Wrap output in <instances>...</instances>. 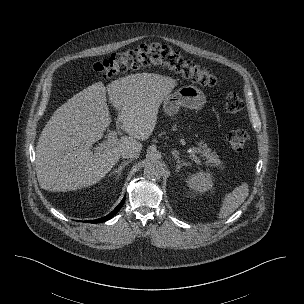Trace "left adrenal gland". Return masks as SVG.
I'll list each match as a JSON object with an SVG mask.
<instances>
[{
  "instance_id": "1",
  "label": "left adrenal gland",
  "mask_w": 304,
  "mask_h": 304,
  "mask_svg": "<svg viewBox=\"0 0 304 304\" xmlns=\"http://www.w3.org/2000/svg\"><path fill=\"white\" fill-rule=\"evenodd\" d=\"M175 159H176V172H179L180 168L183 167V166H188L190 163L189 162H185L183 160H180V158L176 157L175 156Z\"/></svg>"
}]
</instances>
